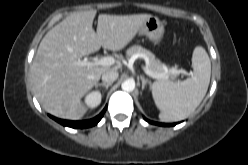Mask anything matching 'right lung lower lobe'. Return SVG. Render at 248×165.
I'll return each mask as SVG.
<instances>
[{"label": "right lung lower lobe", "instance_id": "98d812e1", "mask_svg": "<svg viewBox=\"0 0 248 165\" xmlns=\"http://www.w3.org/2000/svg\"><path fill=\"white\" fill-rule=\"evenodd\" d=\"M106 111V108L95 118L90 119V120H84V121H69V120H61L56 117L50 116L52 119L55 121L59 122L63 126H68L72 128H88L96 125L101 118L103 117L104 113Z\"/></svg>", "mask_w": 248, "mask_h": 165}]
</instances>
